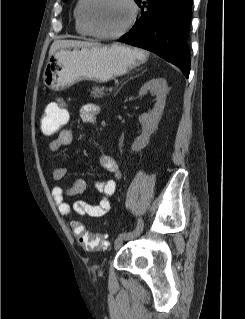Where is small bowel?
Instances as JSON below:
<instances>
[{
    "mask_svg": "<svg viewBox=\"0 0 245 319\" xmlns=\"http://www.w3.org/2000/svg\"><path fill=\"white\" fill-rule=\"evenodd\" d=\"M57 103H51L47 106L50 107ZM100 113L98 105L93 103L85 104L80 111L81 119L88 124H94ZM73 140V132L71 129H63L58 135L49 143V149L52 152H58L62 147L71 144ZM99 163L103 170L113 174V178L101 180L97 184L98 190L103 194L100 202L97 205L90 204L84 200H77L71 206L67 203V196H75L81 194L86 187L83 179H76L69 188H64L61 185L55 186L52 191V196L58 211L61 215L68 217L74 211L79 216L101 217L110 210L109 197L112 196L117 190L118 180L121 173L115 159L107 154L99 156ZM67 175V168L64 166H57L53 171V178L56 181H61Z\"/></svg>",
    "mask_w": 245,
    "mask_h": 319,
    "instance_id": "obj_1",
    "label": "small bowel"
}]
</instances>
